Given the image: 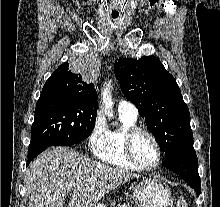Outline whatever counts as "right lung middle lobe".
Segmentation results:
<instances>
[{"mask_svg": "<svg viewBox=\"0 0 220 207\" xmlns=\"http://www.w3.org/2000/svg\"><path fill=\"white\" fill-rule=\"evenodd\" d=\"M97 102L69 93H42L35 108L29 151L71 146L86 139L94 128Z\"/></svg>", "mask_w": 220, "mask_h": 207, "instance_id": "dd1d6c3e", "label": "right lung middle lobe"}]
</instances>
